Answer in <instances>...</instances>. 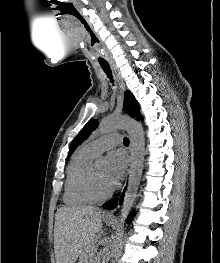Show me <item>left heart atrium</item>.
Segmentation results:
<instances>
[{
    "label": "left heart atrium",
    "instance_id": "39dd6f15",
    "mask_svg": "<svg viewBox=\"0 0 220 263\" xmlns=\"http://www.w3.org/2000/svg\"><path fill=\"white\" fill-rule=\"evenodd\" d=\"M126 169V157L121 151H113L108 156L105 174L108 181L115 185L123 176Z\"/></svg>",
    "mask_w": 220,
    "mask_h": 263
}]
</instances>
